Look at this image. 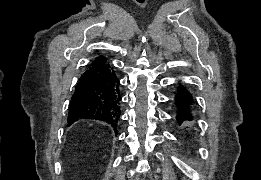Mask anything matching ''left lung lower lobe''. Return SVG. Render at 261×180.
<instances>
[{
    "mask_svg": "<svg viewBox=\"0 0 261 180\" xmlns=\"http://www.w3.org/2000/svg\"><path fill=\"white\" fill-rule=\"evenodd\" d=\"M173 104L175 107L176 121L181 128H184L194 119L193 111L196 103L192 94L182 83L178 84L174 94Z\"/></svg>",
    "mask_w": 261,
    "mask_h": 180,
    "instance_id": "left-lung-lower-lobe-1",
    "label": "left lung lower lobe"
}]
</instances>
